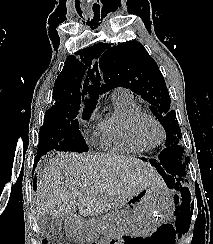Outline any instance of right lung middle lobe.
I'll return each instance as SVG.
<instances>
[{
	"label": "right lung middle lobe",
	"mask_w": 213,
	"mask_h": 244,
	"mask_svg": "<svg viewBox=\"0 0 213 244\" xmlns=\"http://www.w3.org/2000/svg\"><path fill=\"white\" fill-rule=\"evenodd\" d=\"M80 105L54 106L44 116L40 129L37 155L57 149L86 152L88 150L79 131L78 114ZM93 107L84 106L82 118L89 119Z\"/></svg>",
	"instance_id": "1"
}]
</instances>
